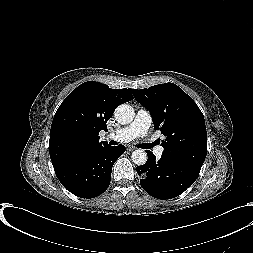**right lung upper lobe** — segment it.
<instances>
[{
  "mask_svg": "<svg viewBox=\"0 0 253 253\" xmlns=\"http://www.w3.org/2000/svg\"><path fill=\"white\" fill-rule=\"evenodd\" d=\"M133 99L131 89H111L88 81L79 85L61 103L50 130L49 153L53 167H58L106 146L99 142V132L116 107Z\"/></svg>",
  "mask_w": 253,
  "mask_h": 253,
  "instance_id": "right-lung-upper-lobe-1",
  "label": "right lung upper lobe"
}]
</instances>
